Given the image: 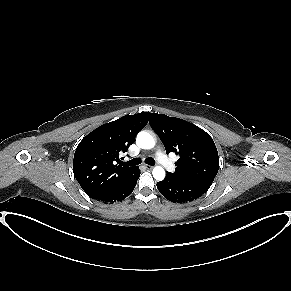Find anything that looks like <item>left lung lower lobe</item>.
<instances>
[{
	"instance_id": "obj_1",
	"label": "left lung lower lobe",
	"mask_w": 291,
	"mask_h": 291,
	"mask_svg": "<svg viewBox=\"0 0 291 291\" xmlns=\"http://www.w3.org/2000/svg\"><path fill=\"white\" fill-rule=\"evenodd\" d=\"M211 185L190 181L167 173L163 181L157 183L159 192L171 202H188L202 196Z\"/></svg>"
}]
</instances>
